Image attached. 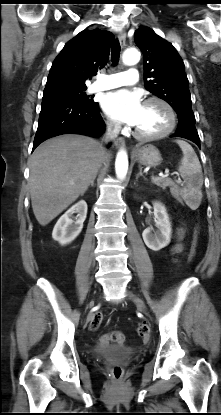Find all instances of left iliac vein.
Wrapping results in <instances>:
<instances>
[{
    "label": "left iliac vein",
    "instance_id": "4c4485c4",
    "mask_svg": "<svg viewBox=\"0 0 221 415\" xmlns=\"http://www.w3.org/2000/svg\"><path fill=\"white\" fill-rule=\"evenodd\" d=\"M128 296L130 297V299L137 305V307L142 312H146L145 304H144V302L139 297H137L135 294H133L130 291H128Z\"/></svg>",
    "mask_w": 221,
    "mask_h": 415
}]
</instances>
